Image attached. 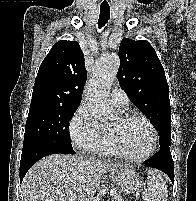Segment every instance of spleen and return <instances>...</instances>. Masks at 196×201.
I'll list each match as a JSON object with an SVG mask.
<instances>
[{"label":"spleen","instance_id":"3e777b00","mask_svg":"<svg viewBox=\"0 0 196 201\" xmlns=\"http://www.w3.org/2000/svg\"><path fill=\"white\" fill-rule=\"evenodd\" d=\"M143 201H167V186L159 171L150 169L148 171L147 188L142 195Z\"/></svg>","mask_w":196,"mask_h":201}]
</instances>
